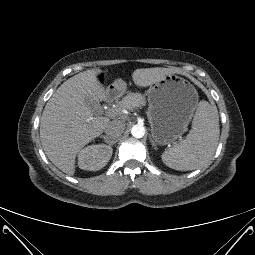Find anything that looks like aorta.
Instances as JSON below:
<instances>
[{"label": "aorta", "instance_id": "aorta-1", "mask_svg": "<svg viewBox=\"0 0 255 255\" xmlns=\"http://www.w3.org/2000/svg\"><path fill=\"white\" fill-rule=\"evenodd\" d=\"M131 134L135 138H142L145 134V128L142 125H134L131 129Z\"/></svg>", "mask_w": 255, "mask_h": 255}]
</instances>
